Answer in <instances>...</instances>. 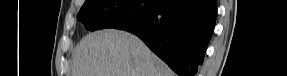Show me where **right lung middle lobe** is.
Listing matches in <instances>:
<instances>
[{
    "label": "right lung middle lobe",
    "mask_w": 287,
    "mask_h": 76,
    "mask_svg": "<svg viewBox=\"0 0 287 76\" xmlns=\"http://www.w3.org/2000/svg\"><path fill=\"white\" fill-rule=\"evenodd\" d=\"M157 0H89L77 14L87 30L123 29L147 19Z\"/></svg>",
    "instance_id": "right-lung-middle-lobe-1"
}]
</instances>
